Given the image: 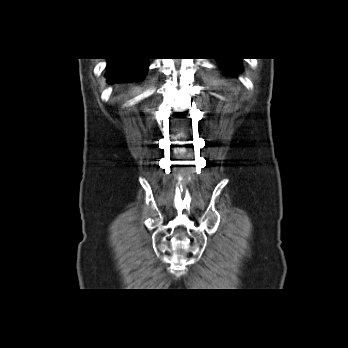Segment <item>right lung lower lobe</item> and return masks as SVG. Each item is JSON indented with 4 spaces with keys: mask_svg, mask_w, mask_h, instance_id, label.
<instances>
[{
    "mask_svg": "<svg viewBox=\"0 0 348 348\" xmlns=\"http://www.w3.org/2000/svg\"><path fill=\"white\" fill-rule=\"evenodd\" d=\"M147 58L108 59L106 77L108 83L137 81L147 71Z\"/></svg>",
    "mask_w": 348,
    "mask_h": 348,
    "instance_id": "98d812e1",
    "label": "right lung lower lobe"
}]
</instances>
